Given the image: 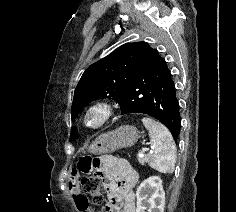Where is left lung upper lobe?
I'll return each mask as SVG.
<instances>
[{"instance_id":"left-lung-upper-lobe-1","label":"left lung upper lobe","mask_w":236,"mask_h":212,"mask_svg":"<svg viewBox=\"0 0 236 212\" xmlns=\"http://www.w3.org/2000/svg\"><path fill=\"white\" fill-rule=\"evenodd\" d=\"M148 47L146 42L124 44L86 69L74 92L72 119L95 99L112 98L118 102L133 80ZM76 136L77 129L72 127L70 141Z\"/></svg>"}]
</instances>
